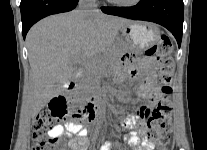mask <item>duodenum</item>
<instances>
[{"instance_id":"obj_1","label":"duodenum","mask_w":207,"mask_h":150,"mask_svg":"<svg viewBox=\"0 0 207 150\" xmlns=\"http://www.w3.org/2000/svg\"><path fill=\"white\" fill-rule=\"evenodd\" d=\"M77 88H78L77 83L72 82L68 86V91L74 92L77 90ZM99 101H100V97L98 95H96L90 99V101L88 102V104L86 106L81 107L77 111H73V112L80 115V118L82 116L92 118L95 115L96 107L99 104Z\"/></svg>"}]
</instances>
